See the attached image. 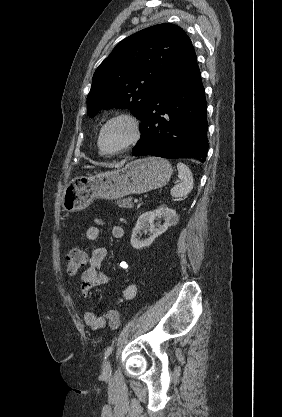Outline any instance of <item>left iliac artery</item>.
Listing matches in <instances>:
<instances>
[{
    "label": "left iliac artery",
    "instance_id": "1",
    "mask_svg": "<svg viewBox=\"0 0 282 417\" xmlns=\"http://www.w3.org/2000/svg\"><path fill=\"white\" fill-rule=\"evenodd\" d=\"M112 351H113V346L111 345V346H109L108 348H107V350L105 351V354H104V359H106L111 353H112Z\"/></svg>",
    "mask_w": 282,
    "mask_h": 417
}]
</instances>
